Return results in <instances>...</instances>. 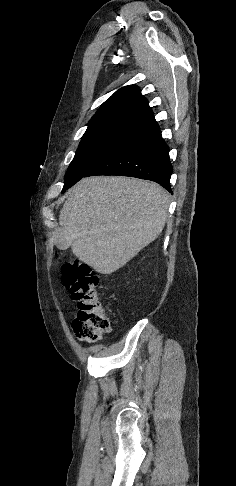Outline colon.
Instances as JSON below:
<instances>
[{
	"mask_svg": "<svg viewBox=\"0 0 236 486\" xmlns=\"http://www.w3.org/2000/svg\"><path fill=\"white\" fill-rule=\"evenodd\" d=\"M62 280L78 304L72 323L76 338L83 342L99 340L109 331L110 322L99 299L97 274L82 262H68L62 266Z\"/></svg>",
	"mask_w": 236,
	"mask_h": 486,
	"instance_id": "obj_1",
	"label": "colon"
}]
</instances>
